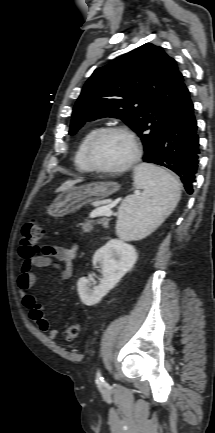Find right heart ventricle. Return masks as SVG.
<instances>
[{
	"instance_id": "1",
	"label": "right heart ventricle",
	"mask_w": 215,
	"mask_h": 433,
	"mask_svg": "<svg viewBox=\"0 0 215 433\" xmlns=\"http://www.w3.org/2000/svg\"><path fill=\"white\" fill-rule=\"evenodd\" d=\"M100 129L99 126H93L82 137L74 156L76 169L82 173H89L93 170L88 165L85 158V149L91 137Z\"/></svg>"
}]
</instances>
